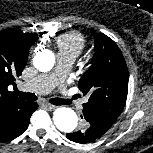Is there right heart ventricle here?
<instances>
[{
  "instance_id": "1",
  "label": "right heart ventricle",
  "mask_w": 153,
  "mask_h": 153,
  "mask_svg": "<svg viewBox=\"0 0 153 153\" xmlns=\"http://www.w3.org/2000/svg\"><path fill=\"white\" fill-rule=\"evenodd\" d=\"M58 54L77 58L86 45V40L79 32L71 31L57 38Z\"/></svg>"
}]
</instances>
